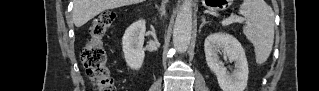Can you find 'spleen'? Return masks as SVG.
I'll list each match as a JSON object with an SVG mask.
<instances>
[{"instance_id":"3e777b00","label":"spleen","mask_w":319,"mask_h":91,"mask_svg":"<svg viewBox=\"0 0 319 91\" xmlns=\"http://www.w3.org/2000/svg\"><path fill=\"white\" fill-rule=\"evenodd\" d=\"M239 13L247 21L243 27L246 38L253 44L258 65L270 56L274 43V13L264 0H244Z\"/></svg>"}]
</instances>
